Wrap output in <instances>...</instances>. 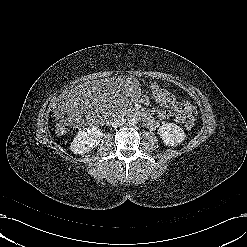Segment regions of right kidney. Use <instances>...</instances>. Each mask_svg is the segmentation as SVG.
Wrapping results in <instances>:
<instances>
[{"label":"right kidney","instance_id":"ca27d5eb","mask_svg":"<svg viewBox=\"0 0 247 247\" xmlns=\"http://www.w3.org/2000/svg\"><path fill=\"white\" fill-rule=\"evenodd\" d=\"M102 137L103 133L98 127L83 128L74 137L70 149L74 154L88 153L99 144Z\"/></svg>","mask_w":247,"mask_h":247}]
</instances>
